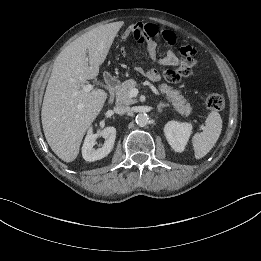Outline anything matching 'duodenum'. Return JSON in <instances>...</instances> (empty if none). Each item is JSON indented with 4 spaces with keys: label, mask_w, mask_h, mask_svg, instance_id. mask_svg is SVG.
I'll return each instance as SVG.
<instances>
[{
    "label": "duodenum",
    "mask_w": 261,
    "mask_h": 261,
    "mask_svg": "<svg viewBox=\"0 0 261 261\" xmlns=\"http://www.w3.org/2000/svg\"><path fill=\"white\" fill-rule=\"evenodd\" d=\"M104 82H105V86L110 94V100H113L114 91L118 84V80L112 74L106 73L104 75Z\"/></svg>",
    "instance_id": "duodenum-1"
}]
</instances>
